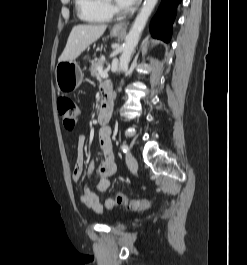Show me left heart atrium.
Returning <instances> with one entry per match:
<instances>
[{
  "mask_svg": "<svg viewBox=\"0 0 247 265\" xmlns=\"http://www.w3.org/2000/svg\"><path fill=\"white\" fill-rule=\"evenodd\" d=\"M116 1L119 7L121 8H129L137 2V0H116Z\"/></svg>",
  "mask_w": 247,
  "mask_h": 265,
  "instance_id": "left-heart-atrium-1",
  "label": "left heart atrium"
}]
</instances>
